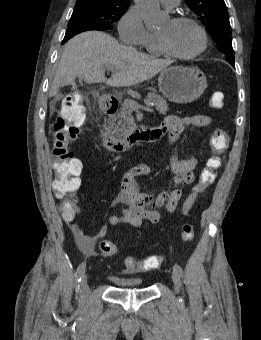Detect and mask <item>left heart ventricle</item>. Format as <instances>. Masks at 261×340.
<instances>
[{
    "mask_svg": "<svg viewBox=\"0 0 261 340\" xmlns=\"http://www.w3.org/2000/svg\"><path fill=\"white\" fill-rule=\"evenodd\" d=\"M157 35L163 38L176 52L190 54L201 46V35L197 28L190 23L175 24L168 21Z\"/></svg>",
    "mask_w": 261,
    "mask_h": 340,
    "instance_id": "left-heart-ventricle-1",
    "label": "left heart ventricle"
}]
</instances>
